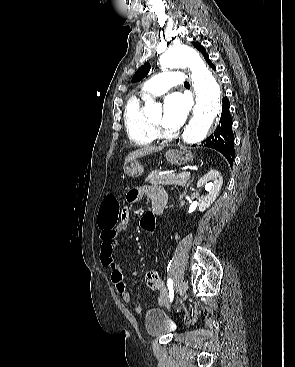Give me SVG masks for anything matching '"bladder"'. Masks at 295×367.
Here are the masks:
<instances>
[{
  "instance_id": "obj_1",
  "label": "bladder",
  "mask_w": 295,
  "mask_h": 367,
  "mask_svg": "<svg viewBox=\"0 0 295 367\" xmlns=\"http://www.w3.org/2000/svg\"><path fill=\"white\" fill-rule=\"evenodd\" d=\"M145 329L150 336H161L174 331L175 327L165 311L149 309L144 317Z\"/></svg>"
}]
</instances>
